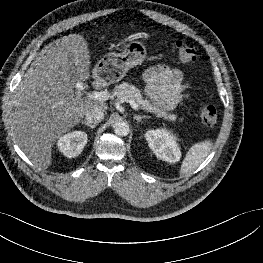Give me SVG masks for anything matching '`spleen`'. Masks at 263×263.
Masks as SVG:
<instances>
[{"label": "spleen", "instance_id": "spleen-1", "mask_svg": "<svg viewBox=\"0 0 263 263\" xmlns=\"http://www.w3.org/2000/svg\"><path fill=\"white\" fill-rule=\"evenodd\" d=\"M212 149L210 141H203L194 144L188 150L180 167V174H187L194 171L209 155Z\"/></svg>", "mask_w": 263, "mask_h": 263}]
</instances>
